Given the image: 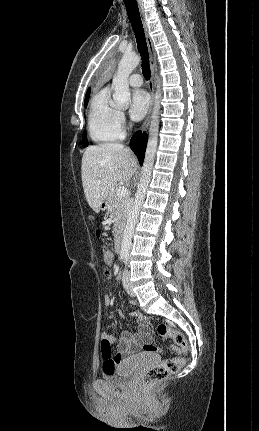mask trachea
<instances>
[{
  "label": "trachea",
  "instance_id": "trachea-1",
  "mask_svg": "<svg viewBox=\"0 0 259 431\" xmlns=\"http://www.w3.org/2000/svg\"><path fill=\"white\" fill-rule=\"evenodd\" d=\"M127 9L128 17L135 33L137 47L142 57V73L146 80L150 79L151 71L149 65V53L144 34V29L138 9V5L135 0H123Z\"/></svg>",
  "mask_w": 259,
  "mask_h": 431
}]
</instances>
